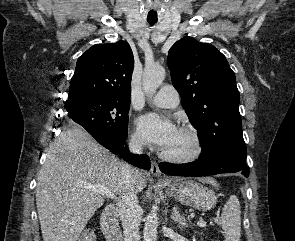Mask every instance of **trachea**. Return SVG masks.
Returning a JSON list of instances; mask_svg holds the SVG:
<instances>
[{
    "instance_id": "3493384b",
    "label": "trachea",
    "mask_w": 295,
    "mask_h": 241,
    "mask_svg": "<svg viewBox=\"0 0 295 241\" xmlns=\"http://www.w3.org/2000/svg\"><path fill=\"white\" fill-rule=\"evenodd\" d=\"M157 21H148L150 25H154Z\"/></svg>"
}]
</instances>
